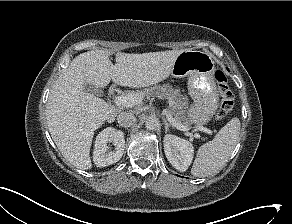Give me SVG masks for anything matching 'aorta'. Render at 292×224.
<instances>
[{
	"label": "aorta",
	"mask_w": 292,
	"mask_h": 224,
	"mask_svg": "<svg viewBox=\"0 0 292 224\" xmlns=\"http://www.w3.org/2000/svg\"><path fill=\"white\" fill-rule=\"evenodd\" d=\"M145 126L148 130H155L159 126V120L155 116H149L146 119Z\"/></svg>",
	"instance_id": "obj_1"
}]
</instances>
